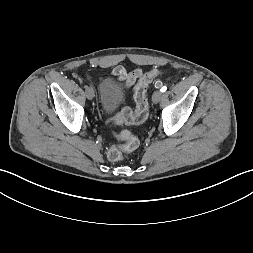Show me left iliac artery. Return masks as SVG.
<instances>
[{"mask_svg":"<svg viewBox=\"0 0 253 253\" xmlns=\"http://www.w3.org/2000/svg\"><path fill=\"white\" fill-rule=\"evenodd\" d=\"M166 90H167V87H166V86H163V87L160 89L161 92H165Z\"/></svg>","mask_w":253,"mask_h":253,"instance_id":"44dca946","label":"left iliac artery"}]
</instances>
